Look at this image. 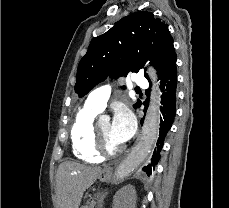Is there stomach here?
I'll return each instance as SVG.
<instances>
[{"label": "stomach", "mask_w": 229, "mask_h": 208, "mask_svg": "<svg viewBox=\"0 0 229 208\" xmlns=\"http://www.w3.org/2000/svg\"><path fill=\"white\" fill-rule=\"evenodd\" d=\"M112 176V170H110V168H105V170L99 174L98 178L100 182H110V180H112Z\"/></svg>", "instance_id": "obj_1"}]
</instances>
